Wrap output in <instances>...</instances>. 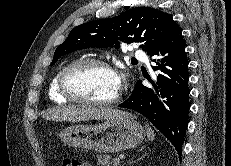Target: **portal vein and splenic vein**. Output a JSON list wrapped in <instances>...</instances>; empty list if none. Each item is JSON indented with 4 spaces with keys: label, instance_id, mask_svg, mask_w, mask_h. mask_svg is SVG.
Returning <instances> with one entry per match:
<instances>
[{
    "label": "portal vein and splenic vein",
    "instance_id": "portal-vein-and-splenic-vein-1",
    "mask_svg": "<svg viewBox=\"0 0 231 166\" xmlns=\"http://www.w3.org/2000/svg\"><path fill=\"white\" fill-rule=\"evenodd\" d=\"M122 158L123 157H118V158H115L114 160L119 162Z\"/></svg>",
    "mask_w": 231,
    "mask_h": 166
}]
</instances>
